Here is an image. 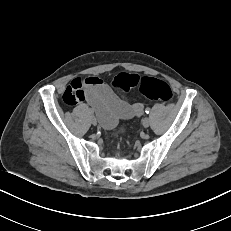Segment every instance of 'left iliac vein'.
Wrapping results in <instances>:
<instances>
[{
	"label": "left iliac vein",
	"instance_id": "4c4485c4",
	"mask_svg": "<svg viewBox=\"0 0 231 231\" xmlns=\"http://www.w3.org/2000/svg\"><path fill=\"white\" fill-rule=\"evenodd\" d=\"M142 125L147 128L149 127L150 125V119L148 117H145L143 120H142Z\"/></svg>",
	"mask_w": 231,
	"mask_h": 231
}]
</instances>
